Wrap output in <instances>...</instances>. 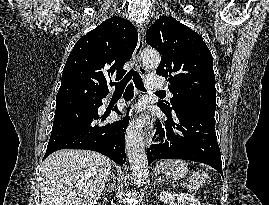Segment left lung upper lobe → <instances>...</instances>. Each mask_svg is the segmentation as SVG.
Listing matches in <instances>:
<instances>
[{"instance_id": "obj_1", "label": "left lung upper lobe", "mask_w": 269, "mask_h": 205, "mask_svg": "<svg viewBox=\"0 0 269 205\" xmlns=\"http://www.w3.org/2000/svg\"><path fill=\"white\" fill-rule=\"evenodd\" d=\"M146 42L160 52L156 73L167 79L173 94L170 103L159 102L160 108L172 112L197 104L216 106L213 58L198 33L163 16L147 30Z\"/></svg>"}]
</instances>
